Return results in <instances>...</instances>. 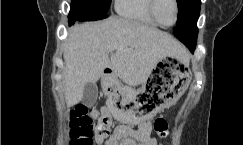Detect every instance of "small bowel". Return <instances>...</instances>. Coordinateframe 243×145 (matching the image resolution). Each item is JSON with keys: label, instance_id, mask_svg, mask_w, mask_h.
<instances>
[{"label": "small bowel", "instance_id": "c3829d8e", "mask_svg": "<svg viewBox=\"0 0 243 145\" xmlns=\"http://www.w3.org/2000/svg\"><path fill=\"white\" fill-rule=\"evenodd\" d=\"M93 115L97 120L104 116L109 117L106 108L95 111ZM165 134L160 135L164 136ZM96 142L98 145H158L157 139L152 135V126L149 121L141 122L135 130L124 125L117 126L109 136L96 137Z\"/></svg>", "mask_w": 243, "mask_h": 145}]
</instances>
